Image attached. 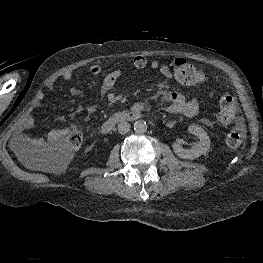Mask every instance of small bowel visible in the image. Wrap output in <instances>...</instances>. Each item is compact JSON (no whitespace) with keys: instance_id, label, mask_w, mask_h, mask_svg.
<instances>
[{"instance_id":"obj_1","label":"small bowel","mask_w":263,"mask_h":263,"mask_svg":"<svg viewBox=\"0 0 263 263\" xmlns=\"http://www.w3.org/2000/svg\"><path fill=\"white\" fill-rule=\"evenodd\" d=\"M132 64L135 69L142 70L149 68L166 79H172L174 77L173 70L168 65L161 64L156 60L149 63L144 57L137 56L133 59ZM88 70L91 74L98 75L102 72V67L98 64H92L89 66ZM122 75L123 72L120 69L109 72L103 79L101 93L106 94L111 91ZM62 79L66 82L71 81L72 74L66 72L62 75ZM49 86H53V83ZM71 92L75 94L76 90L71 89ZM43 99L44 93L40 91L37 94V101L39 102ZM157 102L159 105L164 106L166 112L171 114H181L187 117H195L199 114V103L196 100L186 99L181 92H162L158 95ZM95 110V105L86 107V111L89 113ZM33 123V118L27 116L23 121V131L30 129ZM202 123L207 126L212 125V121L207 118L202 119ZM69 132L70 128H55L52 129L46 137H32L22 132L19 135V140L38 150L53 149L61 146Z\"/></svg>"}]
</instances>
